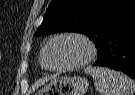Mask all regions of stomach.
<instances>
[{"mask_svg": "<svg viewBox=\"0 0 135 95\" xmlns=\"http://www.w3.org/2000/svg\"><path fill=\"white\" fill-rule=\"evenodd\" d=\"M89 88L86 78L61 76L53 78L36 95H84Z\"/></svg>", "mask_w": 135, "mask_h": 95, "instance_id": "obj_1", "label": "stomach"}]
</instances>
